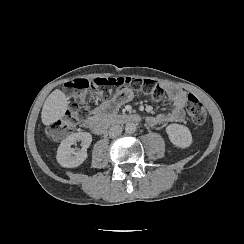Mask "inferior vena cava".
I'll use <instances>...</instances> for the list:
<instances>
[{
    "instance_id": "602c4592",
    "label": "inferior vena cava",
    "mask_w": 244,
    "mask_h": 244,
    "mask_svg": "<svg viewBox=\"0 0 244 244\" xmlns=\"http://www.w3.org/2000/svg\"><path fill=\"white\" fill-rule=\"evenodd\" d=\"M122 133V127L120 125H113L109 129V136L110 137H117Z\"/></svg>"
}]
</instances>
